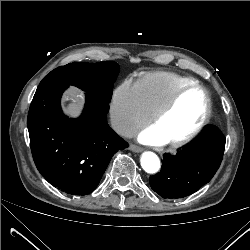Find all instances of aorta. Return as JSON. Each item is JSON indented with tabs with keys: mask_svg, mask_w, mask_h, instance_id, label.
<instances>
[{
	"mask_svg": "<svg viewBox=\"0 0 250 250\" xmlns=\"http://www.w3.org/2000/svg\"><path fill=\"white\" fill-rule=\"evenodd\" d=\"M141 166L147 173H156L160 168V160L153 152H144L141 156Z\"/></svg>",
	"mask_w": 250,
	"mask_h": 250,
	"instance_id": "obj_1",
	"label": "aorta"
}]
</instances>
